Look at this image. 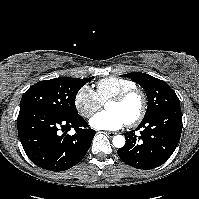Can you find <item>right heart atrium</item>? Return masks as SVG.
Wrapping results in <instances>:
<instances>
[{"mask_svg":"<svg viewBox=\"0 0 199 199\" xmlns=\"http://www.w3.org/2000/svg\"><path fill=\"white\" fill-rule=\"evenodd\" d=\"M74 103L78 112L84 118L92 117L102 107V102L89 85H84L77 91Z\"/></svg>","mask_w":199,"mask_h":199,"instance_id":"d8ad5b80","label":"right heart atrium"}]
</instances>
